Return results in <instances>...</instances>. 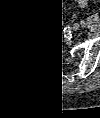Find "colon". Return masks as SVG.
I'll return each instance as SVG.
<instances>
[{
    "mask_svg": "<svg viewBox=\"0 0 100 118\" xmlns=\"http://www.w3.org/2000/svg\"><path fill=\"white\" fill-rule=\"evenodd\" d=\"M53 5L57 8V10H61V6H62V2L61 0H52ZM52 37L55 40H59L60 37V30H59V26H56V28L52 29Z\"/></svg>",
    "mask_w": 100,
    "mask_h": 118,
    "instance_id": "obj_1",
    "label": "colon"
}]
</instances>
